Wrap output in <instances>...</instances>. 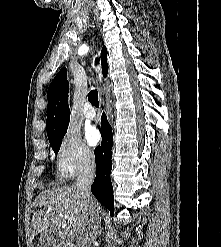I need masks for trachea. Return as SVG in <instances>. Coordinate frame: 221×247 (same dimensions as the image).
Returning a JSON list of instances; mask_svg holds the SVG:
<instances>
[{"label":"trachea","mask_w":221,"mask_h":247,"mask_svg":"<svg viewBox=\"0 0 221 247\" xmlns=\"http://www.w3.org/2000/svg\"><path fill=\"white\" fill-rule=\"evenodd\" d=\"M88 101L95 107H99L98 91L93 89L88 94Z\"/></svg>","instance_id":"3493384b"}]
</instances>
